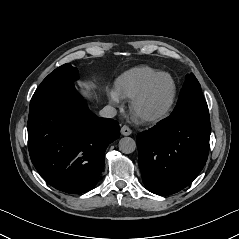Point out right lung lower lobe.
<instances>
[{"instance_id":"1","label":"right lung lower lobe","mask_w":239,"mask_h":239,"mask_svg":"<svg viewBox=\"0 0 239 239\" xmlns=\"http://www.w3.org/2000/svg\"><path fill=\"white\" fill-rule=\"evenodd\" d=\"M27 129L33 165L48 184L70 194L95 186L105 150L120 133L117 121L88 109L73 83L30 103Z\"/></svg>"}]
</instances>
